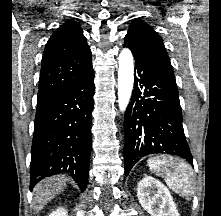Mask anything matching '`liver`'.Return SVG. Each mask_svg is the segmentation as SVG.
I'll use <instances>...</instances> for the list:
<instances>
[{
	"mask_svg": "<svg viewBox=\"0 0 221 216\" xmlns=\"http://www.w3.org/2000/svg\"><path fill=\"white\" fill-rule=\"evenodd\" d=\"M67 178L63 175L46 178L34 187L33 208L39 212L55 196L63 191L66 186Z\"/></svg>",
	"mask_w": 221,
	"mask_h": 216,
	"instance_id": "1",
	"label": "liver"
}]
</instances>
